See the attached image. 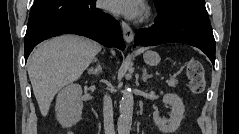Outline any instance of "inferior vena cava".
<instances>
[{
  "label": "inferior vena cava",
  "instance_id": "1",
  "mask_svg": "<svg viewBox=\"0 0 239 134\" xmlns=\"http://www.w3.org/2000/svg\"><path fill=\"white\" fill-rule=\"evenodd\" d=\"M103 116L105 134H115L113 123V106L109 96H104L103 101Z\"/></svg>",
  "mask_w": 239,
  "mask_h": 134
}]
</instances>
